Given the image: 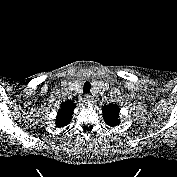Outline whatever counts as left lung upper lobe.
<instances>
[{"mask_svg": "<svg viewBox=\"0 0 177 177\" xmlns=\"http://www.w3.org/2000/svg\"><path fill=\"white\" fill-rule=\"evenodd\" d=\"M103 117L107 125L109 126H117L119 125V106L117 104H109L104 106Z\"/></svg>", "mask_w": 177, "mask_h": 177, "instance_id": "1", "label": "left lung upper lobe"}]
</instances>
